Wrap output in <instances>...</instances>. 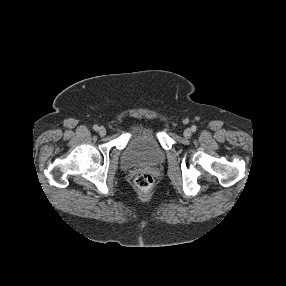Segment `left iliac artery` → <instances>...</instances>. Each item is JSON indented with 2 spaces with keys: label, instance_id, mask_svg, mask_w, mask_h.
<instances>
[{
  "label": "left iliac artery",
  "instance_id": "44dca946",
  "mask_svg": "<svg viewBox=\"0 0 286 286\" xmlns=\"http://www.w3.org/2000/svg\"><path fill=\"white\" fill-rule=\"evenodd\" d=\"M191 129H192L193 132H195L197 130V127L194 125V126H192Z\"/></svg>",
  "mask_w": 286,
  "mask_h": 286
}]
</instances>
